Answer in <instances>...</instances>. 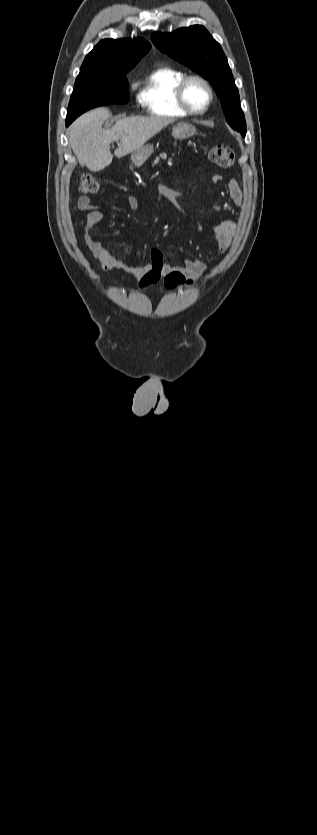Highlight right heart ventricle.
<instances>
[{"mask_svg":"<svg viewBox=\"0 0 317 835\" xmlns=\"http://www.w3.org/2000/svg\"><path fill=\"white\" fill-rule=\"evenodd\" d=\"M185 72L169 65H160L149 72L141 83L139 100L148 114L176 118L188 115L178 104L176 90Z\"/></svg>","mask_w":317,"mask_h":835,"instance_id":"obj_1","label":"right heart ventricle"}]
</instances>
